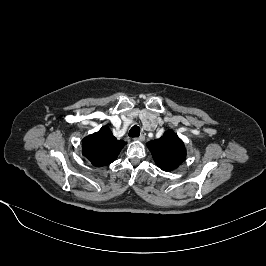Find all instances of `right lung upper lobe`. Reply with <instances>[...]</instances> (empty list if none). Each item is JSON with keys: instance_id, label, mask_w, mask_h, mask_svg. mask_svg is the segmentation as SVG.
Wrapping results in <instances>:
<instances>
[{"instance_id": "1", "label": "right lung upper lobe", "mask_w": 266, "mask_h": 266, "mask_svg": "<svg viewBox=\"0 0 266 266\" xmlns=\"http://www.w3.org/2000/svg\"><path fill=\"white\" fill-rule=\"evenodd\" d=\"M126 142L117 140L109 128L102 127L98 132L84 138L83 155L96 167L112 163Z\"/></svg>"}]
</instances>
